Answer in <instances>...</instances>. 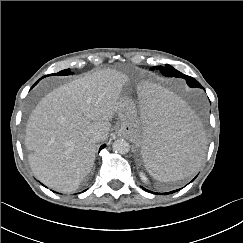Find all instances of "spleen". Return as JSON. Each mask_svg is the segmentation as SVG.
I'll list each match as a JSON object with an SVG mask.
<instances>
[{
  "label": "spleen",
  "instance_id": "1",
  "mask_svg": "<svg viewBox=\"0 0 243 243\" xmlns=\"http://www.w3.org/2000/svg\"><path fill=\"white\" fill-rule=\"evenodd\" d=\"M136 91L142 165L160 182L191 176L200 167L206 148L198 117L166 86L152 79L141 80Z\"/></svg>",
  "mask_w": 243,
  "mask_h": 243
}]
</instances>
